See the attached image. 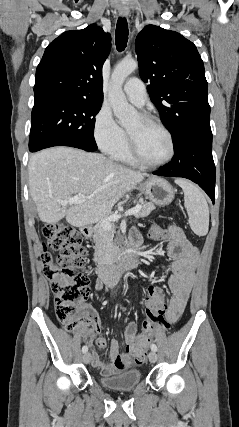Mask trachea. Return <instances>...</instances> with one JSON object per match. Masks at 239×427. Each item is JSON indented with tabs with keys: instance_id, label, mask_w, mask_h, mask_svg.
<instances>
[{
	"instance_id": "3493384b",
	"label": "trachea",
	"mask_w": 239,
	"mask_h": 427,
	"mask_svg": "<svg viewBox=\"0 0 239 427\" xmlns=\"http://www.w3.org/2000/svg\"><path fill=\"white\" fill-rule=\"evenodd\" d=\"M115 41L119 52L126 48L128 41V24L126 18H119L117 21Z\"/></svg>"
}]
</instances>
